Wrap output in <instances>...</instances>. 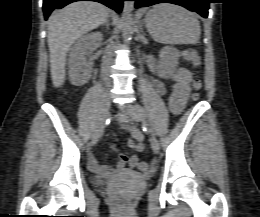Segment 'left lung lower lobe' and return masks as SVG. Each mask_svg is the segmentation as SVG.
Returning <instances> with one entry per match:
<instances>
[{
  "label": "left lung lower lobe",
  "instance_id": "0a47b994",
  "mask_svg": "<svg viewBox=\"0 0 260 217\" xmlns=\"http://www.w3.org/2000/svg\"><path fill=\"white\" fill-rule=\"evenodd\" d=\"M135 1V7H148L157 3H173L183 6L191 11L199 13L202 17H208L210 0H132Z\"/></svg>",
  "mask_w": 260,
  "mask_h": 217
}]
</instances>
